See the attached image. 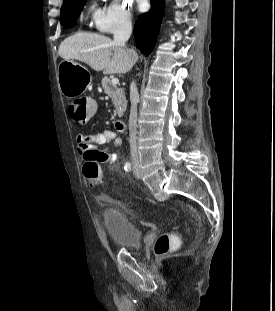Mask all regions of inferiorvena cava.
<instances>
[{"instance_id": "obj_1", "label": "inferior vena cava", "mask_w": 275, "mask_h": 311, "mask_svg": "<svg viewBox=\"0 0 275 311\" xmlns=\"http://www.w3.org/2000/svg\"><path fill=\"white\" fill-rule=\"evenodd\" d=\"M131 32H132L131 21L129 20L123 21L114 31V43H116L120 47H125L127 40L130 38ZM130 101H131V109L129 116L130 151H131V158L133 160H138L136 135H137V103L139 102V94L136 88V83L134 81L131 83L130 86Z\"/></svg>"}]
</instances>
